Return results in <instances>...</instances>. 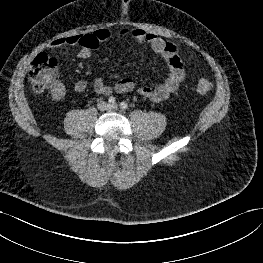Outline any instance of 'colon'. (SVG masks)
I'll return each mask as SVG.
<instances>
[{
    "label": "colon",
    "instance_id": "colon-1",
    "mask_svg": "<svg viewBox=\"0 0 263 263\" xmlns=\"http://www.w3.org/2000/svg\"><path fill=\"white\" fill-rule=\"evenodd\" d=\"M58 71L57 61L48 55L41 53L33 61L29 73V82L32 89L36 92H44L55 85ZM213 82L202 77L197 81L196 89L200 94H207L213 90Z\"/></svg>",
    "mask_w": 263,
    "mask_h": 263
}]
</instances>
